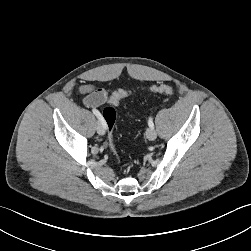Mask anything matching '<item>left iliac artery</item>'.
I'll return each instance as SVG.
<instances>
[{
  "instance_id": "44dca946",
  "label": "left iliac artery",
  "mask_w": 251,
  "mask_h": 251,
  "mask_svg": "<svg viewBox=\"0 0 251 251\" xmlns=\"http://www.w3.org/2000/svg\"><path fill=\"white\" fill-rule=\"evenodd\" d=\"M148 125H149L150 128H154V123H153V118L152 117H149Z\"/></svg>"
}]
</instances>
